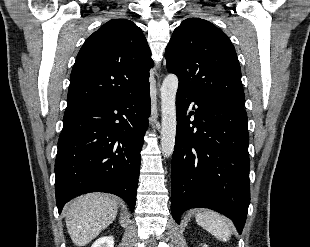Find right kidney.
I'll use <instances>...</instances> for the list:
<instances>
[{
  "instance_id": "ca27d5eb",
  "label": "right kidney",
  "mask_w": 310,
  "mask_h": 247,
  "mask_svg": "<svg viewBox=\"0 0 310 247\" xmlns=\"http://www.w3.org/2000/svg\"><path fill=\"white\" fill-rule=\"evenodd\" d=\"M91 247H114L113 236H103L97 239Z\"/></svg>"
}]
</instances>
